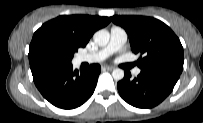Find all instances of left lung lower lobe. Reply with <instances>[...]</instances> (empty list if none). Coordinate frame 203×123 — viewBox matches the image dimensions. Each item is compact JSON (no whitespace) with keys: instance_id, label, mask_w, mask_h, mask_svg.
Listing matches in <instances>:
<instances>
[{"instance_id":"1","label":"left lung lower lobe","mask_w":203,"mask_h":123,"mask_svg":"<svg viewBox=\"0 0 203 123\" xmlns=\"http://www.w3.org/2000/svg\"><path fill=\"white\" fill-rule=\"evenodd\" d=\"M180 74L166 70H141L132 79L129 71L118 82L120 96L130 105L147 109L161 103L173 90Z\"/></svg>"}]
</instances>
